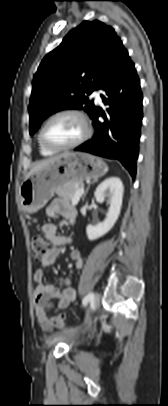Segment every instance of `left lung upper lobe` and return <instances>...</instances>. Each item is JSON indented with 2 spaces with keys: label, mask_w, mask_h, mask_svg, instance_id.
<instances>
[{
  "label": "left lung upper lobe",
  "mask_w": 168,
  "mask_h": 406,
  "mask_svg": "<svg viewBox=\"0 0 168 406\" xmlns=\"http://www.w3.org/2000/svg\"><path fill=\"white\" fill-rule=\"evenodd\" d=\"M125 48L111 26L84 21L42 60L33 78L30 134L42 121L63 109H83L91 117L96 106L86 94L98 89Z\"/></svg>",
  "instance_id": "1"
}]
</instances>
